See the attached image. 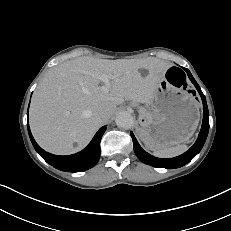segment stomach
I'll use <instances>...</instances> for the list:
<instances>
[{
    "label": "stomach",
    "instance_id": "stomach-1",
    "mask_svg": "<svg viewBox=\"0 0 231 231\" xmlns=\"http://www.w3.org/2000/svg\"><path fill=\"white\" fill-rule=\"evenodd\" d=\"M150 107H138L140 136L150 150L185 143L200 120L199 103L184 85L177 86L164 73Z\"/></svg>",
    "mask_w": 231,
    "mask_h": 231
}]
</instances>
